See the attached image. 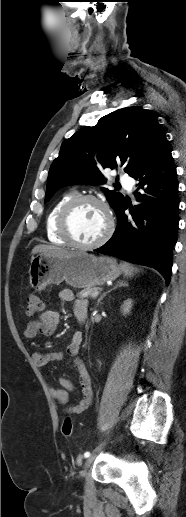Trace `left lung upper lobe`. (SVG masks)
<instances>
[{
  "label": "left lung upper lobe",
  "mask_w": 186,
  "mask_h": 517,
  "mask_svg": "<svg viewBox=\"0 0 186 517\" xmlns=\"http://www.w3.org/2000/svg\"><path fill=\"white\" fill-rule=\"evenodd\" d=\"M165 133L157 119L141 107L116 110L92 127H84L66 139L53 161L47 180L45 201L67 185H102L101 171L124 165L130 176L155 150ZM116 211L124 202L121 193L103 188Z\"/></svg>",
  "instance_id": "1"
}]
</instances>
